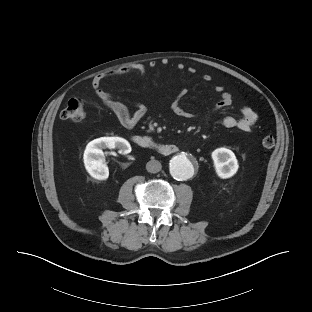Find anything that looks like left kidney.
I'll return each mask as SVG.
<instances>
[{"label":"left kidney","mask_w":312,"mask_h":312,"mask_svg":"<svg viewBox=\"0 0 312 312\" xmlns=\"http://www.w3.org/2000/svg\"><path fill=\"white\" fill-rule=\"evenodd\" d=\"M214 167L217 175L222 178H230L236 174L238 170V161L235 154L227 148H217L212 154Z\"/></svg>","instance_id":"left-kidney-1"}]
</instances>
